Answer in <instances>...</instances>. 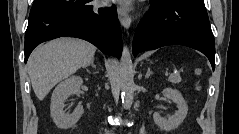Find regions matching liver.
<instances>
[{"label":"liver","mask_w":239,"mask_h":134,"mask_svg":"<svg viewBox=\"0 0 239 134\" xmlns=\"http://www.w3.org/2000/svg\"><path fill=\"white\" fill-rule=\"evenodd\" d=\"M95 52L91 43L74 38H59L36 48L27 67L37 98L43 100L58 82L89 65Z\"/></svg>","instance_id":"liver-1"}]
</instances>
